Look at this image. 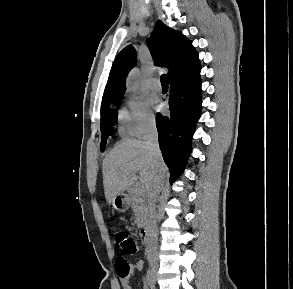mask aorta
<instances>
[{
  "instance_id": "aorta-1",
  "label": "aorta",
  "mask_w": 293,
  "mask_h": 289,
  "mask_svg": "<svg viewBox=\"0 0 293 289\" xmlns=\"http://www.w3.org/2000/svg\"><path fill=\"white\" fill-rule=\"evenodd\" d=\"M139 71L134 69L127 78V87L130 90H136L139 87Z\"/></svg>"
}]
</instances>
